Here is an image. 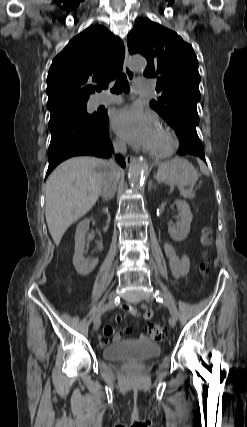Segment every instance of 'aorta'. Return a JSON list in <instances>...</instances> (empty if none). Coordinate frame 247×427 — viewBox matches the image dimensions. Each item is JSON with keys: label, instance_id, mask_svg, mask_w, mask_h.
Returning <instances> with one entry per match:
<instances>
[{"label": "aorta", "instance_id": "aorta-1", "mask_svg": "<svg viewBox=\"0 0 247 427\" xmlns=\"http://www.w3.org/2000/svg\"><path fill=\"white\" fill-rule=\"evenodd\" d=\"M128 64L133 70L143 69L146 66V61L141 56H132L129 58ZM147 170V164L140 159L135 160L129 167L128 181L133 189L140 187L143 176Z\"/></svg>", "mask_w": 247, "mask_h": 427}]
</instances>
